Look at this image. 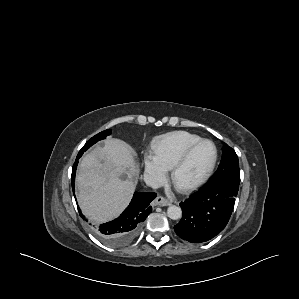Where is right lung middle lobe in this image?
Returning <instances> with one entry per match:
<instances>
[{
  "label": "right lung middle lobe",
  "mask_w": 299,
  "mask_h": 299,
  "mask_svg": "<svg viewBox=\"0 0 299 299\" xmlns=\"http://www.w3.org/2000/svg\"><path fill=\"white\" fill-rule=\"evenodd\" d=\"M111 134V130H105L103 132H100L99 134L95 135L91 139H89L86 144L83 146V148L80 150V152L86 151L90 146H92L94 143H96L99 140L105 139L108 135Z\"/></svg>",
  "instance_id": "obj_1"
}]
</instances>
